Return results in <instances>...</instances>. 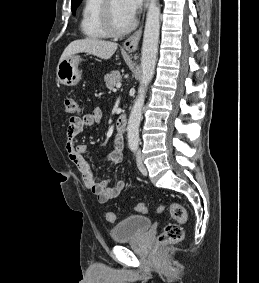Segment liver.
Wrapping results in <instances>:
<instances>
[{
    "instance_id": "1",
    "label": "liver",
    "mask_w": 259,
    "mask_h": 283,
    "mask_svg": "<svg viewBox=\"0 0 259 283\" xmlns=\"http://www.w3.org/2000/svg\"><path fill=\"white\" fill-rule=\"evenodd\" d=\"M117 43L99 40L95 38L78 39L71 42L64 50L60 57V61L70 57L73 54L85 52L97 56L101 59H110L115 53Z\"/></svg>"
}]
</instances>
